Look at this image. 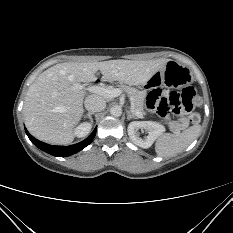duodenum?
I'll return each mask as SVG.
<instances>
[{
    "label": "duodenum",
    "mask_w": 233,
    "mask_h": 233,
    "mask_svg": "<svg viewBox=\"0 0 233 233\" xmlns=\"http://www.w3.org/2000/svg\"><path fill=\"white\" fill-rule=\"evenodd\" d=\"M102 73L100 72V73H98L97 75L99 76V75H101Z\"/></svg>",
    "instance_id": "1"
}]
</instances>
